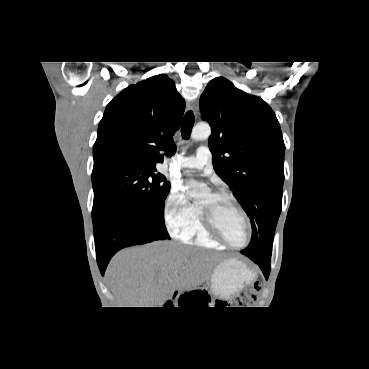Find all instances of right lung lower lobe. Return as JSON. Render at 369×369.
I'll return each instance as SVG.
<instances>
[{"label": "right lung lower lobe", "mask_w": 369, "mask_h": 369, "mask_svg": "<svg viewBox=\"0 0 369 369\" xmlns=\"http://www.w3.org/2000/svg\"><path fill=\"white\" fill-rule=\"evenodd\" d=\"M96 257L104 274L111 257L120 249L161 239L147 221L127 210L113 211L94 228Z\"/></svg>", "instance_id": "1"}]
</instances>
